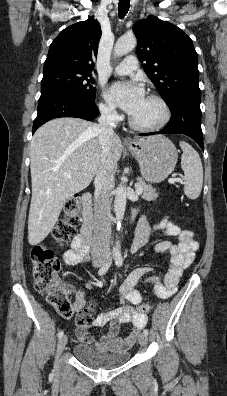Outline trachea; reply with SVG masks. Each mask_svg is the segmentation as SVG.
<instances>
[{"instance_id":"1","label":"trachea","mask_w":227,"mask_h":396,"mask_svg":"<svg viewBox=\"0 0 227 396\" xmlns=\"http://www.w3.org/2000/svg\"><path fill=\"white\" fill-rule=\"evenodd\" d=\"M130 8V1L129 0H120L118 5V14L119 17L122 19L128 13Z\"/></svg>"}]
</instances>
